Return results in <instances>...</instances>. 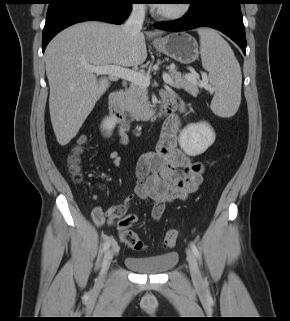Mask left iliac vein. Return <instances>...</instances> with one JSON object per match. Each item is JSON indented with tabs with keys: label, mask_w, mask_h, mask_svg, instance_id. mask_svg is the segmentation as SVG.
I'll list each match as a JSON object with an SVG mask.
<instances>
[{
	"label": "left iliac vein",
	"mask_w": 290,
	"mask_h": 321,
	"mask_svg": "<svg viewBox=\"0 0 290 321\" xmlns=\"http://www.w3.org/2000/svg\"><path fill=\"white\" fill-rule=\"evenodd\" d=\"M187 261L194 284H196L197 286H201L203 284L202 276L198 267L196 257L191 250H187Z\"/></svg>",
	"instance_id": "left-iliac-vein-1"
}]
</instances>
